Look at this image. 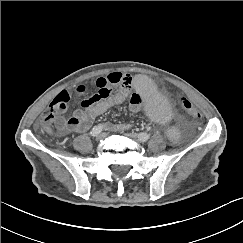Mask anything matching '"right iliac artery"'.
<instances>
[{
	"instance_id": "obj_1",
	"label": "right iliac artery",
	"mask_w": 243,
	"mask_h": 243,
	"mask_svg": "<svg viewBox=\"0 0 243 243\" xmlns=\"http://www.w3.org/2000/svg\"><path fill=\"white\" fill-rule=\"evenodd\" d=\"M102 130H103V125L99 124L91 130L90 134L92 136H97L99 133H101Z\"/></svg>"
}]
</instances>
